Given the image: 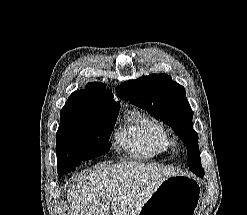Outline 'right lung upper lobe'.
<instances>
[{"label": "right lung upper lobe", "mask_w": 247, "mask_h": 215, "mask_svg": "<svg viewBox=\"0 0 247 215\" xmlns=\"http://www.w3.org/2000/svg\"><path fill=\"white\" fill-rule=\"evenodd\" d=\"M70 97L86 106L105 111L118 112L120 108V104L113 99L112 92L100 82L88 83L85 90L75 91Z\"/></svg>", "instance_id": "obj_1"}]
</instances>
